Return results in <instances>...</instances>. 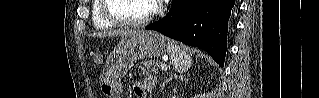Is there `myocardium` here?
Instances as JSON below:
<instances>
[{
	"instance_id": "myocardium-1",
	"label": "myocardium",
	"mask_w": 319,
	"mask_h": 98,
	"mask_svg": "<svg viewBox=\"0 0 319 98\" xmlns=\"http://www.w3.org/2000/svg\"><path fill=\"white\" fill-rule=\"evenodd\" d=\"M109 1L110 0H102V15L104 19L107 20L109 23H111L113 26L126 27V28H140L146 25L147 23H149L151 20H153V18L159 12V5L156 4L155 1H153V7L151 12L144 18L139 20L121 19L114 16L112 13H110L108 9Z\"/></svg>"
}]
</instances>
